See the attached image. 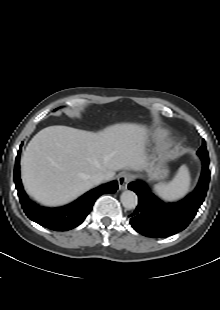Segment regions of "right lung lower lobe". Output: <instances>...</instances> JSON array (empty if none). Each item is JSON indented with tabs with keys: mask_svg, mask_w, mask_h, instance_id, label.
Instances as JSON below:
<instances>
[{
	"mask_svg": "<svg viewBox=\"0 0 220 310\" xmlns=\"http://www.w3.org/2000/svg\"><path fill=\"white\" fill-rule=\"evenodd\" d=\"M21 149V147H20ZM14 181L24 212L32 221L55 231H67L80 225L92 210L95 200L104 193H114L118 182L99 186L80 197L73 203L60 208H45L32 202L26 195L20 179V151L18 152Z\"/></svg>",
	"mask_w": 220,
	"mask_h": 310,
	"instance_id": "98d812e1",
	"label": "right lung lower lobe"
}]
</instances>
